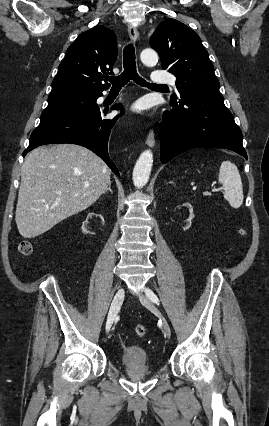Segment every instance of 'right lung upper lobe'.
<instances>
[{
  "label": "right lung upper lobe",
  "mask_w": 269,
  "mask_h": 426,
  "mask_svg": "<svg viewBox=\"0 0 269 426\" xmlns=\"http://www.w3.org/2000/svg\"><path fill=\"white\" fill-rule=\"evenodd\" d=\"M116 59L117 39L112 30L97 25L81 33L59 65L51 92L101 93L109 87L106 81L105 84L102 81L107 73L113 74L111 70Z\"/></svg>",
  "instance_id": "cb5924a9"
}]
</instances>
